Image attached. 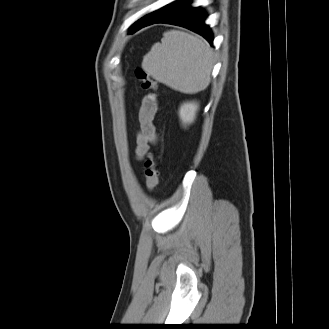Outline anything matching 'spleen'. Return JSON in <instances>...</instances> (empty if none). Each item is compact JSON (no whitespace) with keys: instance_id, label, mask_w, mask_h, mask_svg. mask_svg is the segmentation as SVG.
I'll return each mask as SVG.
<instances>
[{"instance_id":"1","label":"spleen","mask_w":329,"mask_h":329,"mask_svg":"<svg viewBox=\"0 0 329 329\" xmlns=\"http://www.w3.org/2000/svg\"><path fill=\"white\" fill-rule=\"evenodd\" d=\"M142 68L156 81L186 94L204 90L210 83L213 52L199 36L170 30L155 43Z\"/></svg>"}]
</instances>
